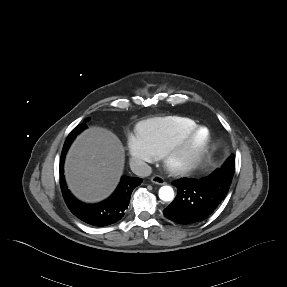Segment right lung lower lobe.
I'll return each instance as SVG.
<instances>
[{
	"instance_id": "1",
	"label": "right lung lower lobe",
	"mask_w": 287,
	"mask_h": 287,
	"mask_svg": "<svg viewBox=\"0 0 287 287\" xmlns=\"http://www.w3.org/2000/svg\"><path fill=\"white\" fill-rule=\"evenodd\" d=\"M87 128V125L81 124L75 133H70L61 153L60 160V186L64 201L69 210L81 221L96 227H104L116 223L125 214L130 196L135 187L139 186L142 178L122 177L114 193L103 202L97 204H86L76 199L67 188L63 166L66 152L74 138Z\"/></svg>"
}]
</instances>
